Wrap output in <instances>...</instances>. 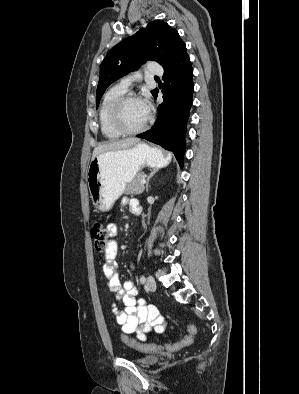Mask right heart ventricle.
<instances>
[{"label": "right heart ventricle", "mask_w": 299, "mask_h": 394, "mask_svg": "<svg viewBox=\"0 0 299 394\" xmlns=\"http://www.w3.org/2000/svg\"><path fill=\"white\" fill-rule=\"evenodd\" d=\"M126 93V90L115 85L106 91L99 108V121L102 134L111 140L119 138L122 134L111 123V109L115 101Z\"/></svg>", "instance_id": "e07e8e85"}]
</instances>
